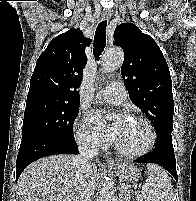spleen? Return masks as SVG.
Listing matches in <instances>:
<instances>
[{
	"label": "spleen",
	"mask_w": 196,
	"mask_h": 201,
	"mask_svg": "<svg viewBox=\"0 0 196 201\" xmlns=\"http://www.w3.org/2000/svg\"><path fill=\"white\" fill-rule=\"evenodd\" d=\"M148 178L142 186L140 201H173V190L170 178L161 167L148 164Z\"/></svg>",
	"instance_id": "obj_1"
}]
</instances>
